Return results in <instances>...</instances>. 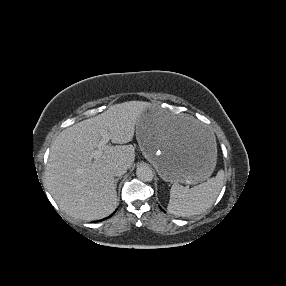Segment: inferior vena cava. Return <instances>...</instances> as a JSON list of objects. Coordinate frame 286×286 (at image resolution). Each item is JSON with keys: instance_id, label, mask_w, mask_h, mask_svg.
Segmentation results:
<instances>
[{"instance_id": "obj_1", "label": "inferior vena cava", "mask_w": 286, "mask_h": 286, "mask_svg": "<svg viewBox=\"0 0 286 286\" xmlns=\"http://www.w3.org/2000/svg\"><path fill=\"white\" fill-rule=\"evenodd\" d=\"M127 166L124 163H115L111 166L113 176H122L126 173Z\"/></svg>"}]
</instances>
